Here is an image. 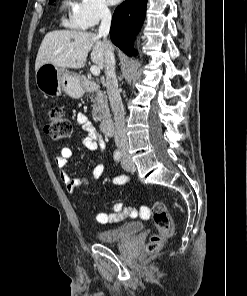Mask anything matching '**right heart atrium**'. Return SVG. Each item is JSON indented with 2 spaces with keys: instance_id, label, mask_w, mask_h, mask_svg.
<instances>
[{
  "instance_id": "d8ad5b80",
  "label": "right heart atrium",
  "mask_w": 247,
  "mask_h": 296,
  "mask_svg": "<svg viewBox=\"0 0 247 296\" xmlns=\"http://www.w3.org/2000/svg\"><path fill=\"white\" fill-rule=\"evenodd\" d=\"M74 6L71 19L85 29H91L111 17L106 0H78Z\"/></svg>"
}]
</instances>
